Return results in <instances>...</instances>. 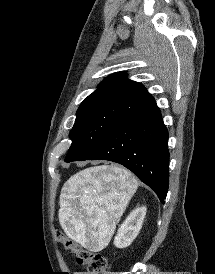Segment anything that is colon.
<instances>
[{"instance_id":"5ec220e1","label":"colon","mask_w":215,"mask_h":274,"mask_svg":"<svg viewBox=\"0 0 215 274\" xmlns=\"http://www.w3.org/2000/svg\"><path fill=\"white\" fill-rule=\"evenodd\" d=\"M57 237L66 248L75 253L77 263L87 267V274H109L108 261L104 255L85 249L60 234Z\"/></svg>"}]
</instances>
